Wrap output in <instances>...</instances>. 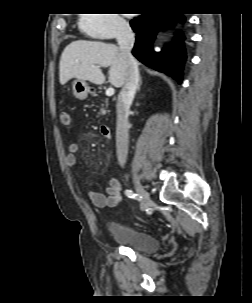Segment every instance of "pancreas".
Instances as JSON below:
<instances>
[{
	"mask_svg": "<svg viewBox=\"0 0 252 303\" xmlns=\"http://www.w3.org/2000/svg\"><path fill=\"white\" fill-rule=\"evenodd\" d=\"M107 106H108V101L107 99L104 101V103L101 104V108H100V112L99 115H105L108 110H107Z\"/></svg>",
	"mask_w": 252,
	"mask_h": 303,
	"instance_id": "obj_1",
	"label": "pancreas"
}]
</instances>
